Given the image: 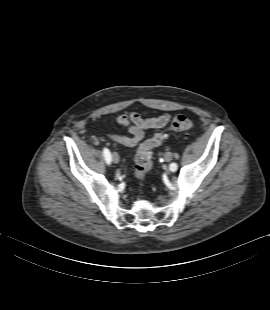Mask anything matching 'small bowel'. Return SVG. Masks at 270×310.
Returning a JSON list of instances; mask_svg holds the SVG:
<instances>
[{"label":"small bowel","mask_w":270,"mask_h":310,"mask_svg":"<svg viewBox=\"0 0 270 310\" xmlns=\"http://www.w3.org/2000/svg\"><path fill=\"white\" fill-rule=\"evenodd\" d=\"M145 111H131L121 113L117 117V123L126 128L129 136L111 134L109 137L114 142L128 147L136 146L140 143L150 129H161L165 127L171 119L170 114L163 113L156 117H147Z\"/></svg>","instance_id":"obj_1"}]
</instances>
